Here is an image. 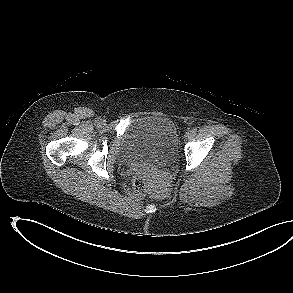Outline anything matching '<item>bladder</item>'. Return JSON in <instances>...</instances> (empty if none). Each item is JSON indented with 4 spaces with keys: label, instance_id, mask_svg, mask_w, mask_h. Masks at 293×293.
Masks as SVG:
<instances>
[{
    "label": "bladder",
    "instance_id": "bladder-1",
    "mask_svg": "<svg viewBox=\"0 0 293 293\" xmlns=\"http://www.w3.org/2000/svg\"><path fill=\"white\" fill-rule=\"evenodd\" d=\"M126 158L167 167L176 161L179 136L172 120L165 116L144 115L134 118L122 140Z\"/></svg>",
    "mask_w": 293,
    "mask_h": 293
}]
</instances>
